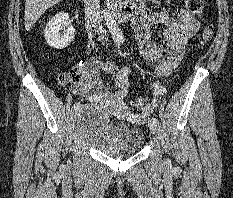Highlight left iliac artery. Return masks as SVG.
Returning <instances> with one entry per match:
<instances>
[{
    "mask_svg": "<svg viewBox=\"0 0 233 198\" xmlns=\"http://www.w3.org/2000/svg\"><path fill=\"white\" fill-rule=\"evenodd\" d=\"M154 88H155V90H157L158 92L161 91V90H162L163 92L166 91V89L160 88V86H159L158 84H154ZM151 120H152L155 124L158 123V120H157V118H155V117H153Z\"/></svg>",
    "mask_w": 233,
    "mask_h": 198,
    "instance_id": "44dca946",
    "label": "left iliac artery"
}]
</instances>
